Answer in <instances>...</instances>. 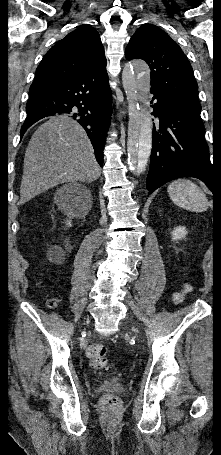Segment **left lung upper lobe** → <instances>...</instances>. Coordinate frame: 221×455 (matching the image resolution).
Returning <instances> with one entry per match:
<instances>
[{
    "label": "left lung upper lobe",
    "mask_w": 221,
    "mask_h": 455,
    "mask_svg": "<svg viewBox=\"0 0 221 455\" xmlns=\"http://www.w3.org/2000/svg\"><path fill=\"white\" fill-rule=\"evenodd\" d=\"M127 60L140 58L151 70V90L196 112H201L198 85L182 49L155 25L139 27L126 48Z\"/></svg>",
    "instance_id": "1"
}]
</instances>
